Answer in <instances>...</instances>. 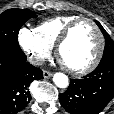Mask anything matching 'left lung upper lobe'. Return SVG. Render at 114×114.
I'll use <instances>...</instances> for the list:
<instances>
[{"label":"left lung upper lobe","instance_id":"left-lung-upper-lobe-1","mask_svg":"<svg viewBox=\"0 0 114 114\" xmlns=\"http://www.w3.org/2000/svg\"><path fill=\"white\" fill-rule=\"evenodd\" d=\"M96 24L99 26L100 30L102 31L105 37L104 54L100 61V64L114 62V41L111 39L109 34L105 31V29L99 22L96 21Z\"/></svg>","mask_w":114,"mask_h":114}]
</instances>
